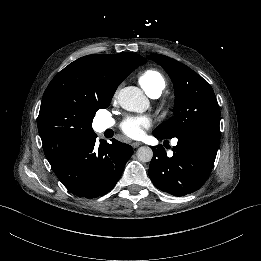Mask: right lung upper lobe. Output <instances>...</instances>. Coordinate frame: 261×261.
I'll list each match as a JSON object with an SVG mask.
<instances>
[{
  "mask_svg": "<svg viewBox=\"0 0 261 261\" xmlns=\"http://www.w3.org/2000/svg\"><path fill=\"white\" fill-rule=\"evenodd\" d=\"M147 60L135 53L81 57L50 82L42 98L38 130L52 164L96 136L92 120L109 103L118 85Z\"/></svg>",
  "mask_w": 261,
  "mask_h": 261,
  "instance_id": "1",
  "label": "right lung upper lobe"
}]
</instances>
